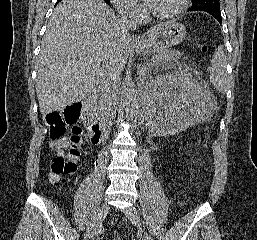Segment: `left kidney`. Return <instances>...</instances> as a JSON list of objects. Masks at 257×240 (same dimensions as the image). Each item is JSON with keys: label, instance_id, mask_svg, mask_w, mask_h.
Masks as SVG:
<instances>
[{"label": "left kidney", "instance_id": "left-kidney-1", "mask_svg": "<svg viewBox=\"0 0 257 240\" xmlns=\"http://www.w3.org/2000/svg\"><path fill=\"white\" fill-rule=\"evenodd\" d=\"M143 99L147 125L160 136L185 131L206 117L207 95L184 72H171L151 80Z\"/></svg>", "mask_w": 257, "mask_h": 240}]
</instances>
